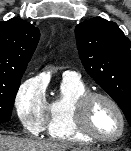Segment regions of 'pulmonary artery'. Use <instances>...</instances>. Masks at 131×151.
<instances>
[{
    "label": "pulmonary artery",
    "mask_w": 131,
    "mask_h": 151,
    "mask_svg": "<svg viewBox=\"0 0 131 151\" xmlns=\"http://www.w3.org/2000/svg\"><path fill=\"white\" fill-rule=\"evenodd\" d=\"M63 78L79 79V74L75 71L67 70L63 73Z\"/></svg>",
    "instance_id": "1"
}]
</instances>
